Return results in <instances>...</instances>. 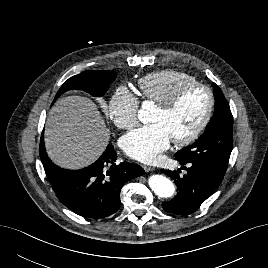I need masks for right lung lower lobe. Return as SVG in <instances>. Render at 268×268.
<instances>
[{
	"label": "right lung lower lobe",
	"instance_id": "98d812e1",
	"mask_svg": "<svg viewBox=\"0 0 268 268\" xmlns=\"http://www.w3.org/2000/svg\"><path fill=\"white\" fill-rule=\"evenodd\" d=\"M41 146H44L43 135ZM117 154L108 145L101 157L81 170H65L50 162L45 167L58 199L76 214L86 218H104L120 206V191L124 183L143 175L137 164H116Z\"/></svg>",
	"mask_w": 268,
	"mask_h": 268
}]
</instances>
